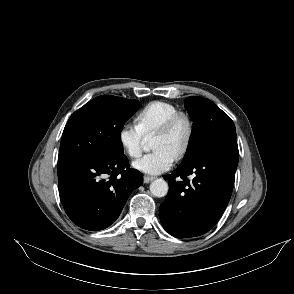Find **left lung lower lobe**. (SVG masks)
I'll use <instances>...</instances> for the list:
<instances>
[{"label": "left lung lower lobe", "mask_w": 294, "mask_h": 294, "mask_svg": "<svg viewBox=\"0 0 294 294\" xmlns=\"http://www.w3.org/2000/svg\"><path fill=\"white\" fill-rule=\"evenodd\" d=\"M237 164V141L227 139L165 176L169 191L160 205L163 228L177 238L196 237L209 231L230 200ZM191 174L194 178L189 181L187 176Z\"/></svg>", "instance_id": "obj_1"}]
</instances>
